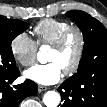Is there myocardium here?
Masks as SVG:
<instances>
[{
    "label": "myocardium",
    "mask_w": 107,
    "mask_h": 107,
    "mask_svg": "<svg viewBox=\"0 0 107 107\" xmlns=\"http://www.w3.org/2000/svg\"><path fill=\"white\" fill-rule=\"evenodd\" d=\"M72 35H76L78 38V48L73 63L64 69V73L67 76L75 74L79 70L83 61L86 48V38L84 32L77 26H70L65 31H63L58 39L51 45L53 49L61 50Z\"/></svg>",
    "instance_id": "f54148a6"
}]
</instances>
